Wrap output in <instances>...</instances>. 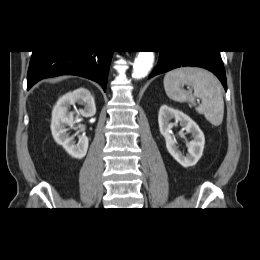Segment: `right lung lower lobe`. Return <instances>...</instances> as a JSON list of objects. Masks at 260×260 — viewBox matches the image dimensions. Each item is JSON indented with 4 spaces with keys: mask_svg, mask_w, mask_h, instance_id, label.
I'll list each match as a JSON object with an SVG mask.
<instances>
[{
    "mask_svg": "<svg viewBox=\"0 0 260 260\" xmlns=\"http://www.w3.org/2000/svg\"><path fill=\"white\" fill-rule=\"evenodd\" d=\"M113 51H33L27 89L44 78L77 75L96 81L106 90Z\"/></svg>",
    "mask_w": 260,
    "mask_h": 260,
    "instance_id": "98d812e1",
    "label": "right lung lower lobe"
}]
</instances>
